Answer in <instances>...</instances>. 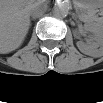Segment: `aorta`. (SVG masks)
Segmentation results:
<instances>
[{
  "mask_svg": "<svg viewBox=\"0 0 103 103\" xmlns=\"http://www.w3.org/2000/svg\"><path fill=\"white\" fill-rule=\"evenodd\" d=\"M52 13L54 16L59 18L66 17L69 13L68 5L63 2H58L57 4L54 5Z\"/></svg>",
  "mask_w": 103,
  "mask_h": 103,
  "instance_id": "aorta-1",
  "label": "aorta"
}]
</instances>
